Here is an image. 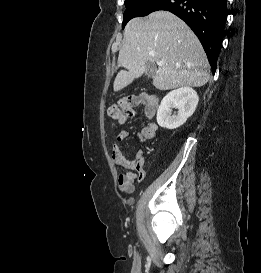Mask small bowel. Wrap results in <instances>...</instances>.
<instances>
[{
  "instance_id": "1",
  "label": "small bowel",
  "mask_w": 261,
  "mask_h": 273,
  "mask_svg": "<svg viewBox=\"0 0 261 273\" xmlns=\"http://www.w3.org/2000/svg\"><path fill=\"white\" fill-rule=\"evenodd\" d=\"M139 103L144 104L145 115L148 119H152L158 109L159 100L158 98L150 94H141L139 97ZM128 118L122 117L118 119L120 125L127 123ZM158 130V125L154 121H149L148 124L143 127L137 134L140 142H145L146 140L155 137ZM129 132L126 129H121L115 136L116 143L112 149V158L117 165L124 167L129 170L126 173H122L118 176V187L119 190L124 193H132L134 191V181L136 179H142L144 176V152L138 150L133 159H127L119 145L120 142L127 139Z\"/></svg>"
}]
</instances>
